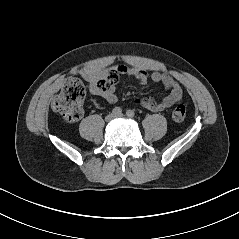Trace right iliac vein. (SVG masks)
<instances>
[{"label": "right iliac vein", "mask_w": 239, "mask_h": 239, "mask_svg": "<svg viewBox=\"0 0 239 239\" xmlns=\"http://www.w3.org/2000/svg\"><path fill=\"white\" fill-rule=\"evenodd\" d=\"M115 116H116V115H114L113 113L108 114V115L105 117L106 122L112 121V120L115 118Z\"/></svg>", "instance_id": "obj_1"}]
</instances>
